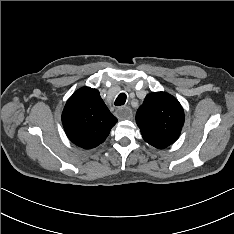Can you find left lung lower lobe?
Here are the masks:
<instances>
[{
    "mask_svg": "<svg viewBox=\"0 0 234 234\" xmlns=\"http://www.w3.org/2000/svg\"><path fill=\"white\" fill-rule=\"evenodd\" d=\"M172 143H168V142H161L156 144L154 147L158 148V149H163L168 147L169 145H171Z\"/></svg>",
    "mask_w": 234,
    "mask_h": 234,
    "instance_id": "left-lung-lower-lobe-1",
    "label": "left lung lower lobe"
}]
</instances>
